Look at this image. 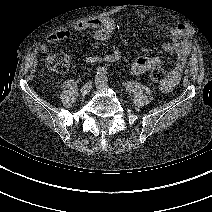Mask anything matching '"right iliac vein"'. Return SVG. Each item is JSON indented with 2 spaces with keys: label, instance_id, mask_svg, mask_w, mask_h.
I'll list each match as a JSON object with an SVG mask.
<instances>
[{
  "label": "right iliac vein",
  "instance_id": "obj_1",
  "mask_svg": "<svg viewBox=\"0 0 212 212\" xmlns=\"http://www.w3.org/2000/svg\"><path fill=\"white\" fill-rule=\"evenodd\" d=\"M92 85H93V84H92L91 81L85 83V84L82 86V88H81V93H82V95H87V94L91 91Z\"/></svg>",
  "mask_w": 212,
  "mask_h": 212
}]
</instances>
